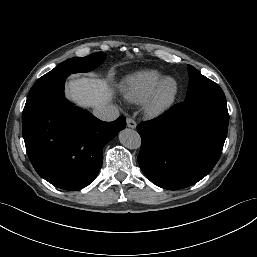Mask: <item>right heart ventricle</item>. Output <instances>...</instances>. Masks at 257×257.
Listing matches in <instances>:
<instances>
[{
  "label": "right heart ventricle",
  "mask_w": 257,
  "mask_h": 257,
  "mask_svg": "<svg viewBox=\"0 0 257 257\" xmlns=\"http://www.w3.org/2000/svg\"><path fill=\"white\" fill-rule=\"evenodd\" d=\"M163 78V74L157 70L138 71L123 80L121 92L128 101L142 103L150 97Z\"/></svg>",
  "instance_id": "e07e8e85"
}]
</instances>
